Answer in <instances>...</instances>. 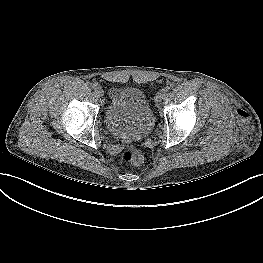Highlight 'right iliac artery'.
Returning a JSON list of instances; mask_svg holds the SVG:
<instances>
[{
    "instance_id": "82829eb1",
    "label": "right iliac artery",
    "mask_w": 263,
    "mask_h": 263,
    "mask_svg": "<svg viewBox=\"0 0 263 263\" xmlns=\"http://www.w3.org/2000/svg\"><path fill=\"white\" fill-rule=\"evenodd\" d=\"M100 87H101V84H100V83H95V84L93 85V88L96 89V90H99Z\"/></svg>"
}]
</instances>
